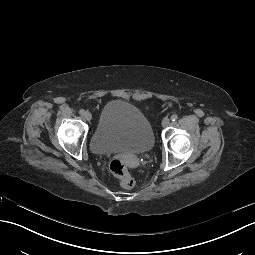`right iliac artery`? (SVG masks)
<instances>
[{"label": "right iliac artery", "mask_w": 255, "mask_h": 255, "mask_svg": "<svg viewBox=\"0 0 255 255\" xmlns=\"http://www.w3.org/2000/svg\"><path fill=\"white\" fill-rule=\"evenodd\" d=\"M79 113H80L81 115H84V114H85V110H84V109H81V110L79 111Z\"/></svg>", "instance_id": "1"}]
</instances>
